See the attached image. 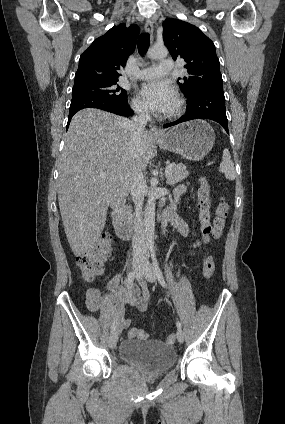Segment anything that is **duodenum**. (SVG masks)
Returning a JSON list of instances; mask_svg holds the SVG:
<instances>
[{"mask_svg":"<svg viewBox=\"0 0 285 424\" xmlns=\"http://www.w3.org/2000/svg\"><path fill=\"white\" fill-rule=\"evenodd\" d=\"M111 217L112 224L117 236L121 240H129L133 233V226L127 221L125 217L124 208L121 203H117L114 206ZM160 222L162 226H165L167 224V218L165 216H162L160 218Z\"/></svg>","mask_w":285,"mask_h":424,"instance_id":"duodenum-1","label":"duodenum"}]
</instances>
